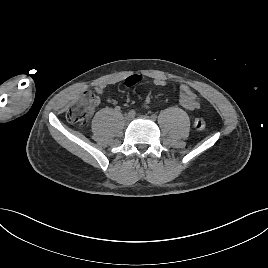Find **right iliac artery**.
<instances>
[{
	"instance_id": "1",
	"label": "right iliac artery",
	"mask_w": 268,
	"mask_h": 268,
	"mask_svg": "<svg viewBox=\"0 0 268 268\" xmlns=\"http://www.w3.org/2000/svg\"><path fill=\"white\" fill-rule=\"evenodd\" d=\"M128 115H130V116H135L136 115V112H135V110H130L129 111V113H128Z\"/></svg>"
}]
</instances>
